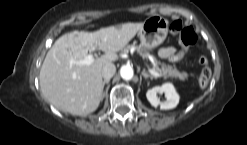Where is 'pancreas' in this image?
Segmentation results:
<instances>
[{"label":"pancreas","mask_w":247,"mask_h":145,"mask_svg":"<svg viewBox=\"0 0 247 145\" xmlns=\"http://www.w3.org/2000/svg\"><path fill=\"white\" fill-rule=\"evenodd\" d=\"M132 46H127L124 51H128ZM161 65V67H159ZM154 71L160 73L163 77L167 78H179L184 80L187 78L188 74L186 72H180L176 67H172L170 65H166L164 63L158 62L156 59L154 60Z\"/></svg>","instance_id":"obj_1"}]
</instances>
